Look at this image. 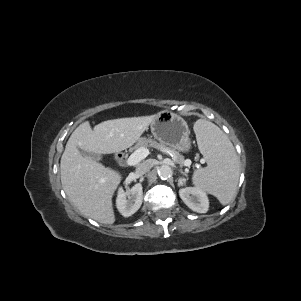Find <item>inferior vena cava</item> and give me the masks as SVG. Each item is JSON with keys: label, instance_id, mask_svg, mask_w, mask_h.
Instances as JSON below:
<instances>
[{"label": "inferior vena cava", "instance_id": "1", "mask_svg": "<svg viewBox=\"0 0 301 301\" xmlns=\"http://www.w3.org/2000/svg\"><path fill=\"white\" fill-rule=\"evenodd\" d=\"M151 169V164L149 161H144L140 164L137 165L136 167V173L138 175H144L145 173H147L149 170Z\"/></svg>", "mask_w": 301, "mask_h": 301}]
</instances>
